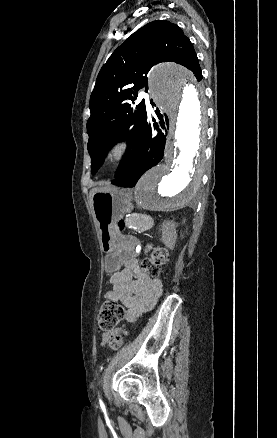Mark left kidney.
Returning <instances> with one entry per match:
<instances>
[{
  "label": "left kidney",
  "instance_id": "1",
  "mask_svg": "<svg viewBox=\"0 0 277 438\" xmlns=\"http://www.w3.org/2000/svg\"><path fill=\"white\" fill-rule=\"evenodd\" d=\"M169 226V228H167ZM162 242L169 248V250H173L176 242V226L173 222H163L162 226ZM170 230V232H168Z\"/></svg>",
  "mask_w": 277,
  "mask_h": 438
}]
</instances>
